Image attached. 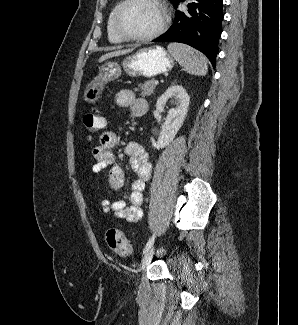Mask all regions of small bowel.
Listing matches in <instances>:
<instances>
[{
  "mask_svg": "<svg viewBox=\"0 0 298 325\" xmlns=\"http://www.w3.org/2000/svg\"><path fill=\"white\" fill-rule=\"evenodd\" d=\"M115 99L120 107H130L134 115H136L137 106L145 103L144 100L135 98L134 93L130 90L119 91ZM117 142L118 138L114 132L105 131L101 134L99 144L92 151L95 160L92 171L94 174H99L102 170L109 168L110 187L114 190H122L124 174L112 151L116 147ZM125 154L129 158L135 175L131 182L130 191L125 199L115 202L103 199L101 201V209L104 213L112 212L115 219L137 222L143 215L141 208L143 191L147 181L150 179L152 166L148 160L145 148L138 141L129 142L125 147Z\"/></svg>",
  "mask_w": 298,
  "mask_h": 325,
  "instance_id": "c3829d8e",
  "label": "small bowel"
}]
</instances>
